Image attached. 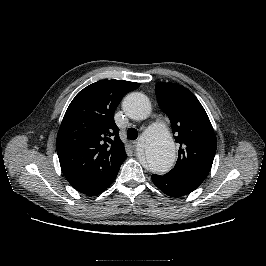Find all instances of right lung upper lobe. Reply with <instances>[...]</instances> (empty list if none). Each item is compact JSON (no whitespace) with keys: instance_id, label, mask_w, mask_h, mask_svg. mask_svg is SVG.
Listing matches in <instances>:
<instances>
[{"instance_id":"cb5924a9","label":"right lung upper lobe","mask_w":266,"mask_h":266,"mask_svg":"<svg viewBox=\"0 0 266 266\" xmlns=\"http://www.w3.org/2000/svg\"><path fill=\"white\" fill-rule=\"evenodd\" d=\"M139 83L101 80L81 90L70 103L58 131L61 170L79 192H90L118 173L126 159L114 111Z\"/></svg>"}]
</instances>
